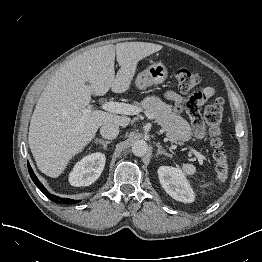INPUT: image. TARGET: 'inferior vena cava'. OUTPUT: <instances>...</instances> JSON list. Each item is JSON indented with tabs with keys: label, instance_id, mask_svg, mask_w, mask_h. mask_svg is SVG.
Segmentation results:
<instances>
[{
	"label": "inferior vena cava",
	"instance_id": "obj_1",
	"mask_svg": "<svg viewBox=\"0 0 262 262\" xmlns=\"http://www.w3.org/2000/svg\"><path fill=\"white\" fill-rule=\"evenodd\" d=\"M100 134L106 139H115L119 134V126L110 123L103 124L100 128Z\"/></svg>",
	"mask_w": 262,
	"mask_h": 262
}]
</instances>
